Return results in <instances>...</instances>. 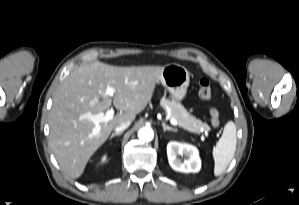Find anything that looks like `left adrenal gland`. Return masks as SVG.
<instances>
[{"mask_svg":"<svg viewBox=\"0 0 299 205\" xmlns=\"http://www.w3.org/2000/svg\"><path fill=\"white\" fill-rule=\"evenodd\" d=\"M162 126H163V130H164V131L168 130V131L177 132V129L172 128V127L166 125L165 123H162Z\"/></svg>","mask_w":299,"mask_h":205,"instance_id":"left-adrenal-gland-1","label":"left adrenal gland"}]
</instances>
